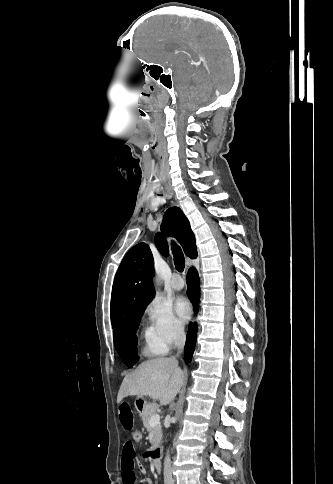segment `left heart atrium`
Instances as JSON below:
<instances>
[{
	"label": "left heart atrium",
	"instance_id": "39dd6f15",
	"mask_svg": "<svg viewBox=\"0 0 333 484\" xmlns=\"http://www.w3.org/2000/svg\"><path fill=\"white\" fill-rule=\"evenodd\" d=\"M174 308L177 315L183 322L188 321L189 318L191 317L192 306L185 297H182V296L178 297L175 300Z\"/></svg>",
	"mask_w": 333,
	"mask_h": 484
}]
</instances>
